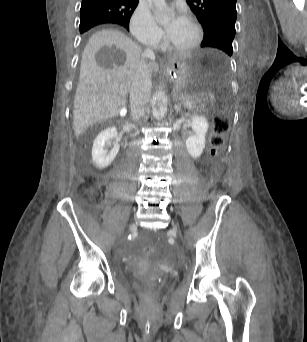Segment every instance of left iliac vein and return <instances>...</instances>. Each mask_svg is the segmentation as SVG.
<instances>
[{
  "mask_svg": "<svg viewBox=\"0 0 307 342\" xmlns=\"http://www.w3.org/2000/svg\"><path fill=\"white\" fill-rule=\"evenodd\" d=\"M173 230H174V231H177V228H176V227H174V228H173Z\"/></svg>",
  "mask_w": 307,
  "mask_h": 342,
  "instance_id": "obj_1",
  "label": "left iliac vein"
}]
</instances>
